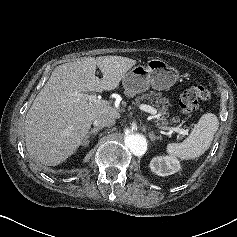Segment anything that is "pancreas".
<instances>
[{"label": "pancreas", "mask_w": 237, "mask_h": 237, "mask_svg": "<svg viewBox=\"0 0 237 237\" xmlns=\"http://www.w3.org/2000/svg\"><path fill=\"white\" fill-rule=\"evenodd\" d=\"M136 102L140 101H148L150 103L154 102V106L157 108L159 114L161 117L158 118V121L161 124H167L166 117L169 115L168 108H169V101L165 97H162L160 93H156L154 91H151L150 93L143 94L141 96H138L135 99ZM174 122L178 121L176 119H173Z\"/></svg>", "instance_id": "1"}]
</instances>
